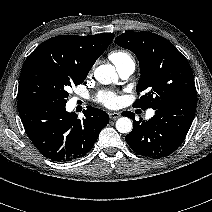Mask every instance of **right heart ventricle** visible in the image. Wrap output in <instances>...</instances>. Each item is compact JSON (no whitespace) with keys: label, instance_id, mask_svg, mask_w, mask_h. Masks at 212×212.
I'll return each instance as SVG.
<instances>
[{"label":"right heart ventricle","instance_id":"1","mask_svg":"<svg viewBox=\"0 0 212 212\" xmlns=\"http://www.w3.org/2000/svg\"><path fill=\"white\" fill-rule=\"evenodd\" d=\"M110 60L116 65V67L125 61L132 60L131 56L122 50H116L110 53Z\"/></svg>","mask_w":212,"mask_h":212}]
</instances>
